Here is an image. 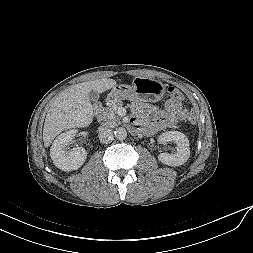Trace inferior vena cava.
Listing matches in <instances>:
<instances>
[{"label": "inferior vena cava", "instance_id": "obj_1", "mask_svg": "<svg viewBox=\"0 0 253 253\" xmlns=\"http://www.w3.org/2000/svg\"><path fill=\"white\" fill-rule=\"evenodd\" d=\"M98 137L102 143H110L114 138L113 131L108 127H101L99 129Z\"/></svg>", "mask_w": 253, "mask_h": 253}]
</instances>
